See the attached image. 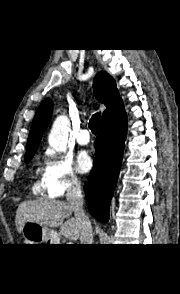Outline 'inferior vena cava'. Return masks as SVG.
<instances>
[{"label": "inferior vena cava", "instance_id": "602c4592", "mask_svg": "<svg viewBox=\"0 0 180 294\" xmlns=\"http://www.w3.org/2000/svg\"><path fill=\"white\" fill-rule=\"evenodd\" d=\"M66 198L72 207L80 232V244H93L92 226L83 209V196L80 182L74 178L67 189Z\"/></svg>", "mask_w": 180, "mask_h": 294}]
</instances>
